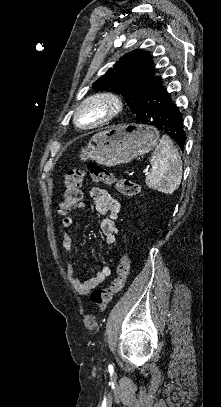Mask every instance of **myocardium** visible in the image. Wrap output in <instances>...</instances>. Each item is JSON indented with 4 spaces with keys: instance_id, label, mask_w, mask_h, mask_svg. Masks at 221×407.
<instances>
[{
    "instance_id": "f54148a6",
    "label": "myocardium",
    "mask_w": 221,
    "mask_h": 407,
    "mask_svg": "<svg viewBox=\"0 0 221 407\" xmlns=\"http://www.w3.org/2000/svg\"><path fill=\"white\" fill-rule=\"evenodd\" d=\"M92 106H99L101 112L89 121L82 119V113ZM122 98L111 91L93 93L85 97L74 109L73 123L82 129H92L113 119L122 109Z\"/></svg>"
}]
</instances>
